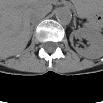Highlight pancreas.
<instances>
[{
    "label": "pancreas",
    "mask_w": 103,
    "mask_h": 103,
    "mask_svg": "<svg viewBox=\"0 0 103 103\" xmlns=\"http://www.w3.org/2000/svg\"><path fill=\"white\" fill-rule=\"evenodd\" d=\"M79 13L82 14V17H86V18H88L90 15L88 12H83L82 10H80Z\"/></svg>",
    "instance_id": "cf45deb5"
}]
</instances>
